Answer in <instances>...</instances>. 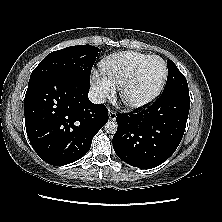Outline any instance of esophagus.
I'll return each mask as SVG.
<instances>
[{"label":"esophagus","instance_id":"1","mask_svg":"<svg viewBox=\"0 0 222 222\" xmlns=\"http://www.w3.org/2000/svg\"><path fill=\"white\" fill-rule=\"evenodd\" d=\"M116 117H117V113L115 111H113V110H110L109 111V119L110 120H115Z\"/></svg>","mask_w":222,"mask_h":222}]
</instances>
